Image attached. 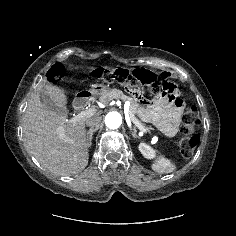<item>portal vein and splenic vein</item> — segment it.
Returning <instances> with one entry per match:
<instances>
[{
	"label": "portal vein and splenic vein",
	"mask_w": 236,
	"mask_h": 236,
	"mask_svg": "<svg viewBox=\"0 0 236 236\" xmlns=\"http://www.w3.org/2000/svg\"><path fill=\"white\" fill-rule=\"evenodd\" d=\"M130 104L128 101L125 102L124 104V110L126 112L127 117L142 131L143 127L140 123V121L130 112ZM97 109L96 108H89L87 110L81 111L78 113L76 116L72 117L71 119L67 120L70 123H75L79 120L88 118L96 114ZM59 135L61 138H64V133L60 130Z\"/></svg>",
	"instance_id": "obj_1"
}]
</instances>
